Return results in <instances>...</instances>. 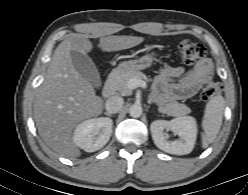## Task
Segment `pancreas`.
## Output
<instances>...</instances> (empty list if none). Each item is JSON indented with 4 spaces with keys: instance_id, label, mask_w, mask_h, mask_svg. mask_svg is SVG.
Returning a JSON list of instances; mask_svg holds the SVG:
<instances>
[{
    "instance_id": "cf45deb5",
    "label": "pancreas",
    "mask_w": 248,
    "mask_h": 195,
    "mask_svg": "<svg viewBox=\"0 0 248 195\" xmlns=\"http://www.w3.org/2000/svg\"><path fill=\"white\" fill-rule=\"evenodd\" d=\"M133 78L142 80L145 79L146 77L140 71L124 72L119 74L117 77H115L110 82V86L112 90L115 92H119L122 95H130L132 89L128 88V81ZM159 111L169 116L178 117L182 115H187L190 112V109L184 104L178 102H171L164 107H160Z\"/></svg>"
}]
</instances>
